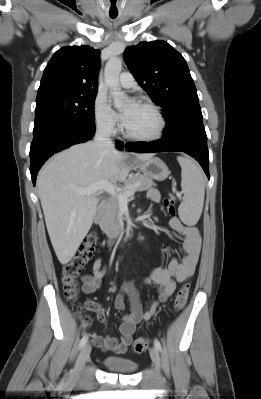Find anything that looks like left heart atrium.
<instances>
[{"label": "left heart atrium", "instance_id": "39dd6f15", "mask_svg": "<svg viewBox=\"0 0 261 399\" xmlns=\"http://www.w3.org/2000/svg\"><path fill=\"white\" fill-rule=\"evenodd\" d=\"M137 106H138V104H137L136 102L133 101V102L130 103L129 109H128L127 111H124V112L121 114V119H122V121H123L124 124L127 122V120H128V118H129L131 112H132Z\"/></svg>", "mask_w": 261, "mask_h": 399}]
</instances>
